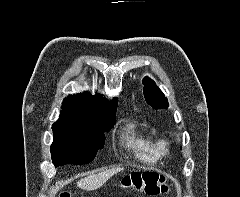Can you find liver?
<instances>
[{
    "label": "liver",
    "mask_w": 240,
    "mask_h": 197,
    "mask_svg": "<svg viewBox=\"0 0 240 197\" xmlns=\"http://www.w3.org/2000/svg\"><path fill=\"white\" fill-rule=\"evenodd\" d=\"M122 168H112L101 171L98 174H90L77 182V187L83 190H94L103 185L110 177L122 171Z\"/></svg>",
    "instance_id": "1"
}]
</instances>
